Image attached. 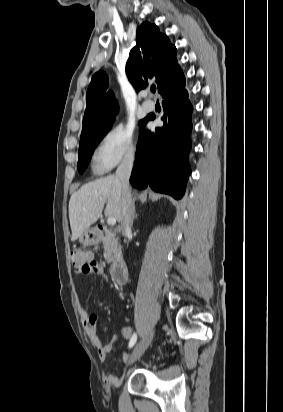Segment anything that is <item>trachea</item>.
I'll list each match as a JSON object with an SVG mask.
<instances>
[{
    "mask_svg": "<svg viewBox=\"0 0 283 412\" xmlns=\"http://www.w3.org/2000/svg\"><path fill=\"white\" fill-rule=\"evenodd\" d=\"M151 91H152L153 93H155V92H156V87H152V88H151Z\"/></svg>",
    "mask_w": 283,
    "mask_h": 412,
    "instance_id": "1",
    "label": "trachea"
}]
</instances>
